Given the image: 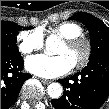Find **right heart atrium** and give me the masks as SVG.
Returning <instances> with one entry per match:
<instances>
[{
    "label": "right heart atrium",
    "mask_w": 109,
    "mask_h": 109,
    "mask_svg": "<svg viewBox=\"0 0 109 109\" xmlns=\"http://www.w3.org/2000/svg\"><path fill=\"white\" fill-rule=\"evenodd\" d=\"M43 42V33L38 29L22 31L17 36L18 49L24 55L42 49Z\"/></svg>",
    "instance_id": "obj_1"
}]
</instances>
